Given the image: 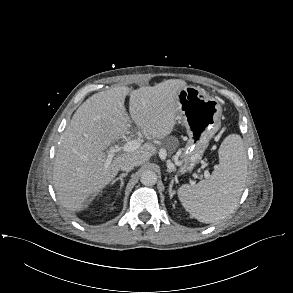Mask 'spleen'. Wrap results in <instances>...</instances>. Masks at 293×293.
I'll use <instances>...</instances> for the list:
<instances>
[{
    "label": "spleen",
    "instance_id": "spleen-1",
    "mask_svg": "<svg viewBox=\"0 0 293 293\" xmlns=\"http://www.w3.org/2000/svg\"><path fill=\"white\" fill-rule=\"evenodd\" d=\"M219 164L210 179L195 186L182 185L178 198L183 207L202 223H216L237 207L247 176V159L242 138L227 136L219 148Z\"/></svg>",
    "mask_w": 293,
    "mask_h": 293
}]
</instances>
